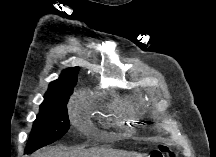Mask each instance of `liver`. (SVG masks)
<instances>
[{
  "label": "liver",
  "mask_w": 216,
  "mask_h": 157,
  "mask_svg": "<svg viewBox=\"0 0 216 157\" xmlns=\"http://www.w3.org/2000/svg\"><path fill=\"white\" fill-rule=\"evenodd\" d=\"M145 154L128 153L118 150H72L62 151L59 148L49 147L32 154V157H144Z\"/></svg>",
  "instance_id": "6515ba94"
}]
</instances>
